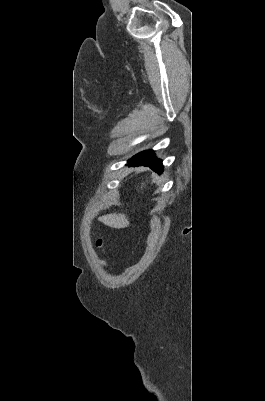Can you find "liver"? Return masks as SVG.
Wrapping results in <instances>:
<instances>
[{"label": "liver", "mask_w": 265, "mask_h": 401, "mask_svg": "<svg viewBox=\"0 0 265 401\" xmlns=\"http://www.w3.org/2000/svg\"><path fill=\"white\" fill-rule=\"evenodd\" d=\"M141 184H145V182H141ZM98 221L105 223L108 227H114V229H125V227H129L130 225L128 217H126V215H121V213H118V215H116V213L104 215V217H99Z\"/></svg>", "instance_id": "obj_1"}]
</instances>
